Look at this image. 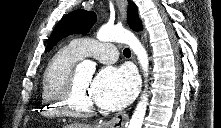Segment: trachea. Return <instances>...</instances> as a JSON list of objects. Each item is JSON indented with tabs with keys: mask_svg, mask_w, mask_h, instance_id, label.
<instances>
[{
	"mask_svg": "<svg viewBox=\"0 0 221 128\" xmlns=\"http://www.w3.org/2000/svg\"><path fill=\"white\" fill-rule=\"evenodd\" d=\"M123 54H124L125 56L131 55L130 49L125 48L124 51H123Z\"/></svg>",
	"mask_w": 221,
	"mask_h": 128,
	"instance_id": "trachea-1",
	"label": "trachea"
}]
</instances>
